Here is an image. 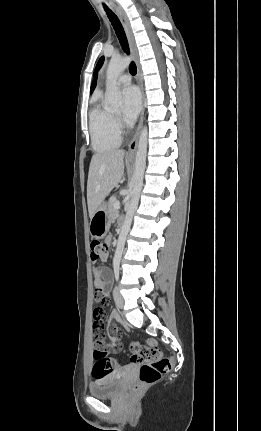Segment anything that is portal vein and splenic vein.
Wrapping results in <instances>:
<instances>
[{"instance_id":"18ae733b","label":"portal vein and splenic vein","mask_w":261,"mask_h":431,"mask_svg":"<svg viewBox=\"0 0 261 431\" xmlns=\"http://www.w3.org/2000/svg\"><path fill=\"white\" fill-rule=\"evenodd\" d=\"M114 207H115L116 209H119V208H120V203H119V202H116V203L114 204Z\"/></svg>"}]
</instances>
